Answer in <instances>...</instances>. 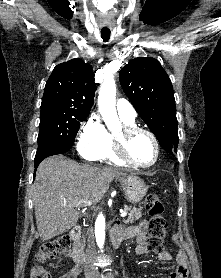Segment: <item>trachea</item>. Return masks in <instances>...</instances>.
Listing matches in <instances>:
<instances>
[{"label": "trachea", "instance_id": "trachea-1", "mask_svg": "<svg viewBox=\"0 0 221 278\" xmlns=\"http://www.w3.org/2000/svg\"><path fill=\"white\" fill-rule=\"evenodd\" d=\"M110 30H101V37L104 42H107L110 39Z\"/></svg>", "mask_w": 221, "mask_h": 278}]
</instances>
